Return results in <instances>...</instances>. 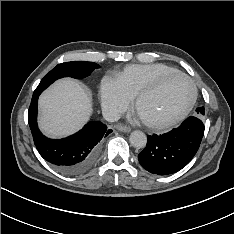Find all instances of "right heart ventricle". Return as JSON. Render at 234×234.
Listing matches in <instances>:
<instances>
[{
  "instance_id": "right-heart-ventricle-1",
  "label": "right heart ventricle",
  "mask_w": 234,
  "mask_h": 234,
  "mask_svg": "<svg viewBox=\"0 0 234 234\" xmlns=\"http://www.w3.org/2000/svg\"><path fill=\"white\" fill-rule=\"evenodd\" d=\"M176 71V68L162 63L133 64L118 72L116 80L125 94L133 99L140 90L162 75Z\"/></svg>"
}]
</instances>
